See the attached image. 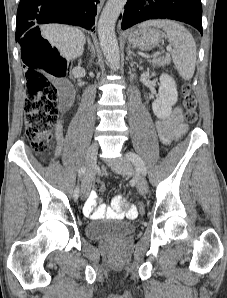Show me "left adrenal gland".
Listing matches in <instances>:
<instances>
[{
	"label": "left adrenal gland",
	"mask_w": 227,
	"mask_h": 298,
	"mask_svg": "<svg viewBox=\"0 0 227 298\" xmlns=\"http://www.w3.org/2000/svg\"><path fill=\"white\" fill-rule=\"evenodd\" d=\"M127 49H128V56L130 57L131 60H133V57H137V55L130 49L129 46L127 47ZM139 63H141L140 59H139Z\"/></svg>",
	"instance_id": "left-adrenal-gland-1"
}]
</instances>
